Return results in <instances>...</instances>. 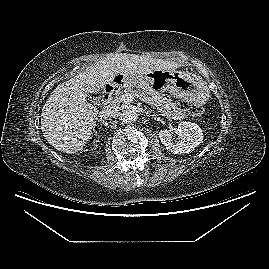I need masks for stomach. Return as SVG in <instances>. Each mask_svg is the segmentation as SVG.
Listing matches in <instances>:
<instances>
[{
  "label": "stomach",
  "mask_w": 269,
  "mask_h": 269,
  "mask_svg": "<svg viewBox=\"0 0 269 269\" xmlns=\"http://www.w3.org/2000/svg\"><path fill=\"white\" fill-rule=\"evenodd\" d=\"M115 84L121 87L133 84L139 90L152 96L160 95L168 90L186 104L184 109L179 108L185 117H187L186 112L190 113L193 107L203 106L210 98L207 83L200 76H196L188 70H153L138 76L121 73L117 75Z\"/></svg>",
  "instance_id": "obj_1"
}]
</instances>
